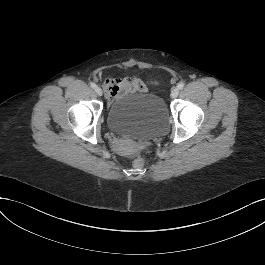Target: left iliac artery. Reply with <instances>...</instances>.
Returning <instances> with one entry per match:
<instances>
[{"label":"left iliac artery","instance_id":"obj_1","mask_svg":"<svg viewBox=\"0 0 265 265\" xmlns=\"http://www.w3.org/2000/svg\"><path fill=\"white\" fill-rule=\"evenodd\" d=\"M183 87H184V83L183 82L178 83L177 88L179 90L183 89Z\"/></svg>","mask_w":265,"mask_h":265}]
</instances>
